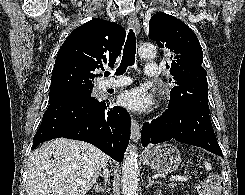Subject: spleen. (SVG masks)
<instances>
[{"label":"spleen","mask_w":245,"mask_h":195,"mask_svg":"<svg viewBox=\"0 0 245 195\" xmlns=\"http://www.w3.org/2000/svg\"><path fill=\"white\" fill-rule=\"evenodd\" d=\"M204 167H205L206 170H212V166H211L210 163L205 162L204 163Z\"/></svg>","instance_id":"obj_1"}]
</instances>
